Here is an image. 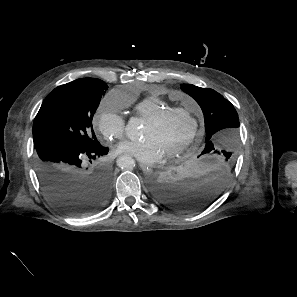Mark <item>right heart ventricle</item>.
I'll list each match as a JSON object with an SVG mask.
<instances>
[{
	"mask_svg": "<svg viewBox=\"0 0 297 297\" xmlns=\"http://www.w3.org/2000/svg\"><path fill=\"white\" fill-rule=\"evenodd\" d=\"M166 108H169V105L164 99L156 96H149L135 105V112L140 118L147 120L149 117Z\"/></svg>",
	"mask_w": 297,
	"mask_h": 297,
	"instance_id": "1",
	"label": "right heart ventricle"
}]
</instances>
